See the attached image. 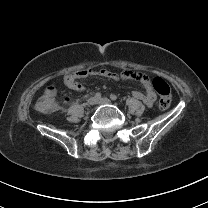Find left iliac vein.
<instances>
[{
    "mask_svg": "<svg viewBox=\"0 0 208 208\" xmlns=\"http://www.w3.org/2000/svg\"><path fill=\"white\" fill-rule=\"evenodd\" d=\"M98 104H112V101L108 98H100L96 101Z\"/></svg>",
    "mask_w": 208,
    "mask_h": 208,
    "instance_id": "1",
    "label": "left iliac vein"
}]
</instances>
